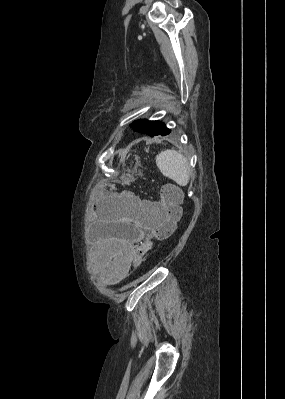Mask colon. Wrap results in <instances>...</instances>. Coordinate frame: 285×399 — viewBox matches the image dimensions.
Instances as JSON below:
<instances>
[{"mask_svg":"<svg viewBox=\"0 0 285 399\" xmlns=\"http://www.w3.org/2000/svg\"><path fill=\"white\" fill-rule=\"evenodd\" d=\"M163 203L160 209L165 213L166 220L155 233L157 239H165L175 230L176 224L180 218V194L170 187L162 188ZM151 240L141 242L134 249L135 262L139 264L152 250Z\"/></svg>","mask_w":285,"mask_h":399,"instance_id":"obj_1","label":"colon"}]
</instances>
